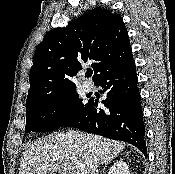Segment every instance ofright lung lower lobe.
Listing matches in <instances>:
<instances>
[{"label":"right lung lower lobe","instance_id":"1","mask_svg":"<svg viewBox=\"0 0 175 174\" xmlns=\"http://www.w3.org/2000/svg\"><path fill=\"white\" fill-rule=\"evenodd\" d=\"M137 74L132 52L108 67L95 81L103 88L106 108H97L90 99L81 114L66 127L121 140L136 146L146 157L145 126L137 87Z\"/></svg>","mask_w":175,"mask_h":174}]
</instances>
